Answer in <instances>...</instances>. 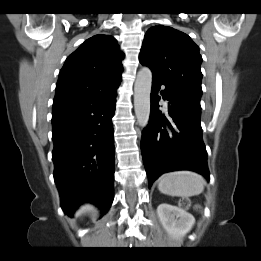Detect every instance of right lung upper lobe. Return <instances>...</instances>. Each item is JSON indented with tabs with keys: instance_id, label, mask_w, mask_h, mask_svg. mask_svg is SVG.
<instances>
[{
	"instance_id": "obj_1",
	"label": "right lung upper lobe",
	"mask_w": 261,
	"mask_h": 261,
	"mask_svg": "<svg viewBox=\"0 0 261 261\" xmlns=\"http://www.w3.org/2000/svg\"><path fill=\"white\" fill-rule=\"evenodd\" d=\"M123 53L114 37L95 35L66 59L56 85L54 102L117 88Z\"/></svg>"
}]
</instances>
